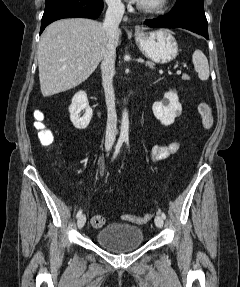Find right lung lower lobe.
Masks as SVG:
<instances>
[{
	"instance_id": "1",
	"label": "right lung lower lobe",
	"mask_w": 240,
	"mask_h": 287,
	"mask_svg": "<svg viewBox=\"0 0 240 287\" xmlns=\"http://www.w3.org/2000/svg\"><path fill=\"white\" fill-rule=\"evenodd\" d=\"M103 9L102 0H46L41 30L50 23L68 17L96 19Z\"/></svg>"
}]
</instances>
